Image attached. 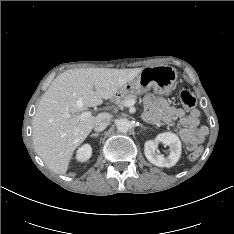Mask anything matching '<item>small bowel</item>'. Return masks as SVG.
<instances>
[{
    "instance_id": "small-bowel-1",
    "label": "small bowel",
    "mask_w": 234,
    "mask_h": 234,
    "mask_svg": "<svg viewBox=\"0 0 234 234\" xmlns=\"http://www.w3.org/2000/svg\"><path fill=\"white\" fill-rule=\"evenodd\" d=\"M144 119L152 124L176 123L179 135L189 147H195L203 142L208 134V128L200 125V113L197 109L186 113L181 108L170 105L166 100L148 95L144 99Z\"/></svg>"
}]
</instances>
